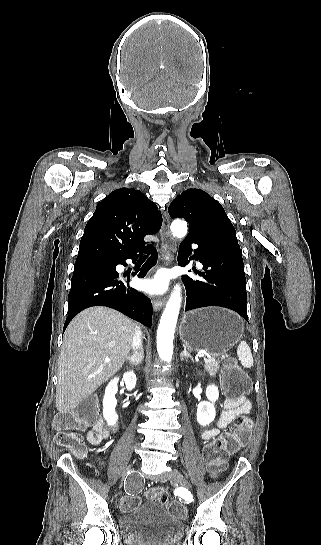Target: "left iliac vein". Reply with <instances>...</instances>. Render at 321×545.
Here are the masks:
<instances>
[{
    "mask_svg": "<svg viewBox=\"0 0 321 545\" xmlns=\"http://www.w3.org/2000/svg\"><path fill=\"white\" fill-rule=\"evenodd\" d=\"M170 479L172 482L176 483L177 485L183 487V488H189V483L186 479V477L181 474L177 469H173L170 475Z\"/></svg>",
    "mask_w": 321,
    "mask_h": 545,
    "instance_id": "1",
    "label": "left iliac vein"
}]
</instances>
